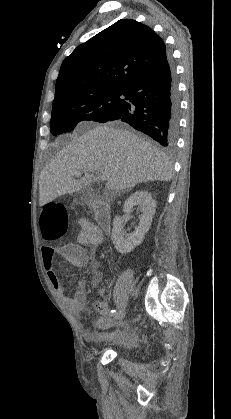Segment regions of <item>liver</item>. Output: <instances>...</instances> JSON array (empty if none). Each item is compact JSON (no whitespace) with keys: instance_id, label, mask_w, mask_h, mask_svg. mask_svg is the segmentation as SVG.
Segmentation results:
<instances>
[{"instance_id":"obj_1","label":"liver","mask_w":231,"mask_h":419,"mask_svg":"<svg viewBox=\"0 0 231 419\" xmlns=\"http://www.w3.org/2000/svg\"><path fill=\"white\" fill-rule=\"evenodd\" d=\"M76 171L84 173L80 180L72 177ZM94 171L106 174V188L116 192L172 179L171 164L156 146L129 130L98 125L73 139L45 166L39 180L40 206L90 186Z\"/></svg>"}]
</instances>
